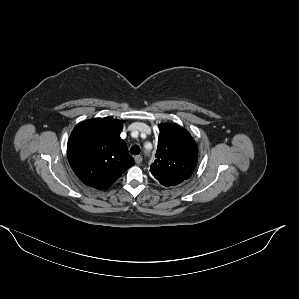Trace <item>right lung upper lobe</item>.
Wrapping results in <instances>:
<instances>
[{
  "label": "right lung upper lobe",
  "mask_w": 299,
  "mask_h": 299,
  "mask_svg": "<svg viewBox=\"0 0 299 299\" xmlns=\"http://www.w3.org/2000/svg\"><path fill=\"white\" fill-rule=\"evenodd\" d=\"M123 121L95 118L79 123L67 145V157L76 176L98 190L110 187L134 165L126 143L120 138Z\"/></svg>",
  "instance_id": "right-lung-upper-lobe-1"
}]
</instances>
